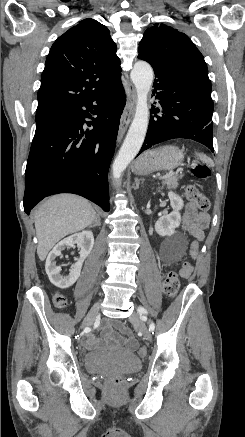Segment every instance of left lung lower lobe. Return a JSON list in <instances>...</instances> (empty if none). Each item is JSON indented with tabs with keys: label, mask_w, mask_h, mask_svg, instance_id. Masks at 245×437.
<instances>
[{
	"label": "left lung lower lobe",
	"mask_w": 245,
	"mask_h": 437,
	"mask_svg": "<svg viewBox=\"0 0 245 437\" xmlns=\"http://www.w3.org/2000/svg\"><path fill=\"white\" fill-rule=\"evenodd\" d=\"M151 66L155 73L153 94L156 93L155 99L161 105L162 114L156 115L155 112L158 113L160 110L152 107L151 112L154 116L150 119L138 155L152 145L175 138L195 140L213 152L211 91Z\"/></svg>",
	"instance_id": "1"
}]
</instances>
